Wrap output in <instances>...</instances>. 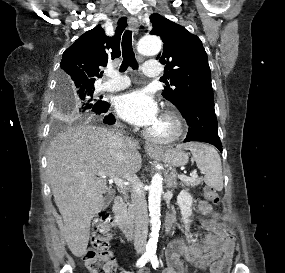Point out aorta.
I'll return each instance as SVG.
<instances>
[{"mask_svg": "<svg viewBox=\"0 0 285 273\" xmlns=\"http://www.w3.org/2000/svg\"><path fill=\"white\" fill-rule=\"evenodd\" d=\"M162 48L161 40L156 36L143 37L138 43V52L145 56L157 55ZM163 192V178L160 173L154 174L149 187V212L151 217V234L146 246V253L154 255L157 250V242L160 230V204Z\"/></svg>", "mask_w": 285, "mask_h": 273, "instance_id": "1", "label": "aorta"}]
</instances>
